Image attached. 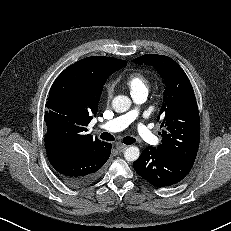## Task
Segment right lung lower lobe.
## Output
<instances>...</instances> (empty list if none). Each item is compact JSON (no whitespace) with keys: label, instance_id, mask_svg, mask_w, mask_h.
<instances>
[{"label":"right lung lower lobe","instance_id":"right-lung-lower-lobe-1","mask_svg":"<svg viewBox=\"0 0 231 231\" xmlns=\"http://www.w3.org/2000/svg\"><path fill=\"white\" fill-rule=\"evenodd\" d=\"M111 147L110 143H106L102 150L76 154L45 142L49 162L58 177L71 187H84L97 179L110 157Z\"/></svg>","mask_w":231,"mask_h":231}]
</instances>
